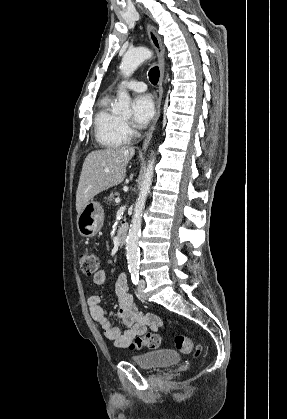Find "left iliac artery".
I'll return each mask as SVG.
<instances>
[{
	"label": "left iliac artery",
	"instance_id": "obj_1",
	"mask_svg": "<svg viewBox=\"0 0 287 419\" xmlns=\"http://www.w3.org/2000/svg\"><path fill=\"white\" fill-rule=\"evenodd\" d=\"M131 279L134 285H137L139 282V272L137 270L131 271Z\"/></svg>",
	"mask_w": 287,
	"mask_h": 419
}]
</instances>
